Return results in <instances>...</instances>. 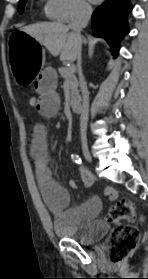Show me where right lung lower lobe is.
Segmentation results:
<instances>
[{"instance_id":"1","label":"right lung lower lobe","mask_w":148,"mask_h":279,"mask_svg":"<svg viewBox=\"0 0 148 279\" xmlns=\"http://www.w3.org/2000/svg\"><path fill=\"white\" fill-rule=\"evenodd\" d=\"M132 10L130 0H107L92 15L95 36L105 38L118 56L119 41L129 32L127 14Z\"/></svg>"}]
</instances>
